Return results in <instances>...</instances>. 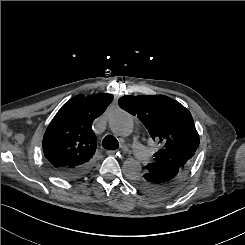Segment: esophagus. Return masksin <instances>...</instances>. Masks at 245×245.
Segmentation results:
<instances>
[{
	"mask_svg": "<svg viewBox=\"0 0 245 245\" xmlns=\"http://www.w3.org/2000/svg\"><path fill=\"white\" fill-rule=\"evenodd\" d=\"M107 154H108V155H111V156H114V155H116V154H119V152H116L115 150H108V151H107ZM120 158H121V156H120Z\"/></svg>",
	"mask_w": 245,
	"mask_h": 245,
	"instance_id": "34e87169",
	"label": "esophagus"
}]
</instances>
